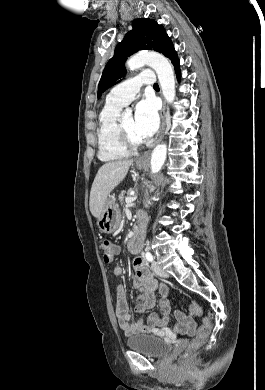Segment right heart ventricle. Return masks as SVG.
I'll return each mask as SVG.
<instances>
[{
    "instance_id": "right-heart-ventricle-1",
    "label": "right heart ventricle",
    "mask_w": 265,
    "mask_h": 390,
    "mask_svg": "<svg viewBox=\"0 0 265 390\" xmlns=\"http://www.w3.org/2000/svg\"><path fill=\"white\" fill-rule=\"evenodd\" d=\"M122 106L106 102L99 114L97 130L98 157L105 162L119 161L129 156L118 135V117Z\"/></svg>"
}]
</instances>
